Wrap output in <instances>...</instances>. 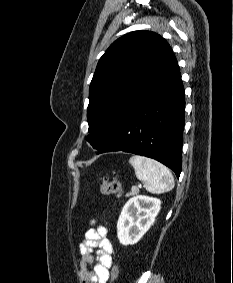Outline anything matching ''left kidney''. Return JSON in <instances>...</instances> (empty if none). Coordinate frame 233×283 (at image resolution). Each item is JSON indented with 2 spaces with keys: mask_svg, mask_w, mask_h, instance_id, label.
Here are the masks:
<instances>
[{
  "mask_svg": "<svg viewBox=\"0 0 233 283\" xmlns=\"http://www.w3.org/2000/svg\"><path fill=\"white\" fill-rule=\"evenodd\" d=\"M161 201L148 196L131 198L117 222V236L122 245L136 244L150 229L160 211Z\"/></svg>",
  "mask_w": 233,
  "mask_h": 283,
  "instance_id": "1",
  "label": "left kidney"
}]
</instances>
